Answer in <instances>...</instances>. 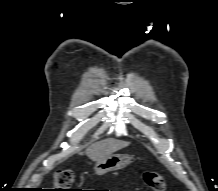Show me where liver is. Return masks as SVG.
Segmentation results:
<instances>
[{
	"label": "liver",
	"mask_w": 218,
	"mask_h": 191,
	"mask_svg": "<svg viewBox=\"0 0 218 191\" xmlns=\"http://www.w3.org/2000/svg\"><path fill=\"white\" fill-rule=\"evenodd\" d=\"M130 143L108 138L92 144L86 149V155L95 162L101 161L114 152L127 147Z\"/></svg>",
	"instance_id": "liver-1"
}]
</instances>
